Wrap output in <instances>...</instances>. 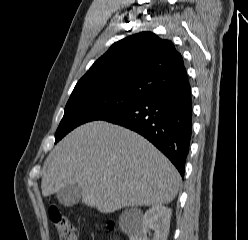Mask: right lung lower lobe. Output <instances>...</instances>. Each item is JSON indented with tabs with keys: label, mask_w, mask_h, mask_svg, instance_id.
Returning a JSON list of instances; mask_svg holds the SVG:
<instances>
[{
	"label": "right lung lower lobe",
	"mask_w": 248,
	"mask_h": 240,
	"mask_svg": "<svg viewBox=\"0 0 248 240\" xmlns=\"http://www.w3.org/2000/svg\"><path fill=\"white\" fill-rule=\"evenodd\" d=\"M192 115L191 87L187 78L146 95L102 120L147 138L183 177L192 134Z\"/></svg>",
	"instance_id": "1"
}]
</instances>
